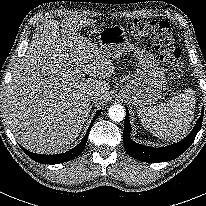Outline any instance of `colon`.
<instances>
[{"mask_svg":"<svg viewBox=\"0 0 206 206\" xmlns=\"http://www.w3.org/2000/svg\"><path fill=\"white\" fill-rule=\"evenodd\" d=\"M131 35L148 36L155 41L159 59L166 71L175 78L183 74L181 50L175 43L170 25L165 20L136 19L130 25Z\"/></svg>","mask_w":206,"mask_h":206,"instance_id":"1","label":"colon"}]
</instances>
